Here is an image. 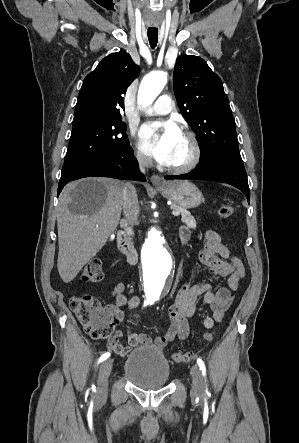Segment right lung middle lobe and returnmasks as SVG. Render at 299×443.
I'll list each match as a JSON object with an SVG mask.
<instances>
[{
    "instance_id": "right-lung-middle-lobe-1",
    "label": "right lung middle lobe",
    "mask_w": 299,
    "mask_h": 443,
    "mask_svg": "<svg viewBox=\"0 0 299 443\" xmlns=\"http://www.w3.org/2000/svg\"><path fill=\"white\" fill-rule=\"evenodd\" d=\"M131 146L120 117L74 123L61 177L104 157L126 153Z\"/></svg>"
}]
</instances>
